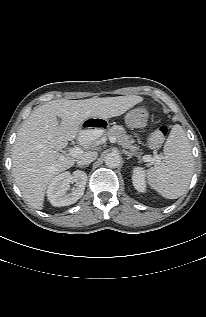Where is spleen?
<instances>
[{"label":"spleen","instance_id":"3e777b00","mask_svg":"<svg viewBox=\"0 0 206 317\" xmlns=\"http://www.w3.org/2000/svg\"><path fill=\"white\" fill-rule=\"evenodd\" d=\"M193 156L186 132L179 124L164 145L163 160L147 170L149 185L167 199H177L188 189L193 174Z\"/></svg>","mask_w":206,"mask_h":317}]
</instances>
